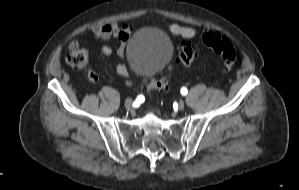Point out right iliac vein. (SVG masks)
Returning a JSON list of instances; mask_svg holds the SVG:
<instances>
[{
  "mask_svg": "<svg viewBox=\"0 0 299 190\" xmlns=\"http://www.w3.org/2000/svg\"><path fill=\"white\" fill-rule=\"evenodd\" d=\"M125 107L126 108H131L132 107V100L131 99H126L125 100Z\"/></svg>",
  "mask_w": 299,
  "mask_h": 190,
  "instance_id": "obj_1",
  "label": "right iliac vein"
}]
</instances>
